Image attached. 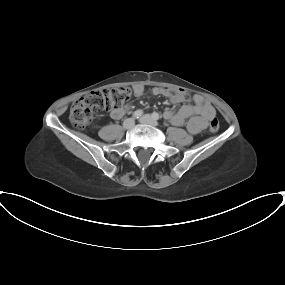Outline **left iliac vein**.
Returning <instances> with one entry per match:
<instances>
[{"label":"left iliac vein","instance_id":"obj_1","mask_svg":"<svg viewBox=\"0 0 285 285\" xmlns=\"http://www.w3.org/2000/svg\"><path fill=\"white\" fill-rule=\"evenodd\" d=\"M139 121L143 124H148L151 126H157L158 122L150 115L146 114L144 116H142Z\"/></svg>","mask_w":285,"mask_h":285}]
</instances>
